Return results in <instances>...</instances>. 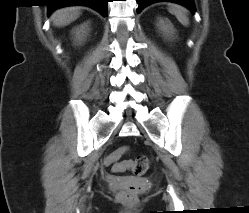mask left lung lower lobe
Returning a JSON list of instances; mask_svg holds the SVG:
<instances>
[{
  "instance_id": "left-lung-lower-lobe-1",
  "label": "left lung lower lobe",
  "mask_w": 249,
  "mask_h": 213,
  "mask_svg": "<svg viewBox=\"0 0 249 213\" xmlns=\"http://www.w3.org/2000/svg\"><path fill=\"white\" fill-rule=\"evenodd\" d=\"M160 1H168V2H174L182 4L186 7H188L191 11H195V6L193 0H137L139 7L137 9V12L140 13L143 8L148 6L151 3L154 2H160Z\"/></svg>"
}]
</instances>
